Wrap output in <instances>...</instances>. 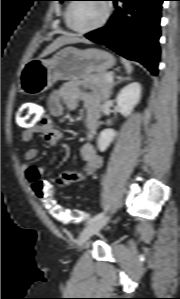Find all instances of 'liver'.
<instances>
[{
    "label": "liver",
    "instance_id": "obj_1",
    "mask_svg": "<svg viewBox=\"0 0 180 299\" xmlns=\"http://www.w3.org/2000/svg\"><path fill=\"white\" fill-rule=\"evenodd\" d=\"M80 42H86L84 39H81L71 33H64L63 35L56 38L40 55V57H44L49 55L50 53L56 51L60 47L67 44H75Z\"/></svg>",
    "mask_w": 180,
    "mask_h": 299
}]
</instances>
